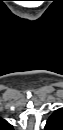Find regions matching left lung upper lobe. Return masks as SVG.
<instances>
[{
  "label": "left lung upper lobe",
  "instance_id": "left-lung-upper-lobe-1",
  "mask_svg": "<svg viewBox=\"0 0 63 130\" xmlns=\"http://www.w3.org/2000/svg\"><path fill=\"white\" fill-rule=\"evenodd\" d=\"M46 130H62L63 129V110H56L48 119Z\"/></svg>",
  "mask_w": 63,
  "mask_h": 130
}]
</instances>
